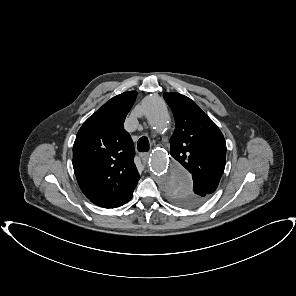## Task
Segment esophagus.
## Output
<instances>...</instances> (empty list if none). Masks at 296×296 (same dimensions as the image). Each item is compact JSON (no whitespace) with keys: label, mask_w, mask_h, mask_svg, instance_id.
Listing matches in <instances>:
<instances>
[{"label":"esophagus","mask_w":296,"mask_h":296,"mask_svg":"<svg viewBox=\"0 0 296 296\" xmlns=\"http://www.w3.org/2000/svg\"><path fill=\"white\" fill-rule=\"evenodd\" d=\"M140 157H141L143 163H146L147 160H148V158H149V153H148V152L141 153V154H140Z\"/></svg>","instance_id":"34e87169"}]
</instances>
